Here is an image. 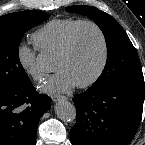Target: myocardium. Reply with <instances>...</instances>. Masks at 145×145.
Instances as JSON below:
<instances>
[{
	"label": "myocardium",
	"mask_w": 145,
	"mask_h": 145,
	"mask_svg": "<svg viewBox=\"0 0 145 145\" xmlns=\"http://www.w3.org/2000/svg\"><path fill=\"white\" fill-rule=\"evenodd\" d=\"M82 26H91L98 32L101 39V43H102V49H103L102 60L95 74L89 80L83 83L77 84L78 88L84 89V88H89L93 86L94 84H96L99 81V79L102 77V75L104 74L106 67L108 65V62H109L110 49H109L108 39L103 28L95 21L81 20L74 26V28L69 33L62 49L57 53V57H66L71 53L74 43H75L77 32Z\"/></svg>",
	"instance_id": "myocardium-1"
}]
</instances>
